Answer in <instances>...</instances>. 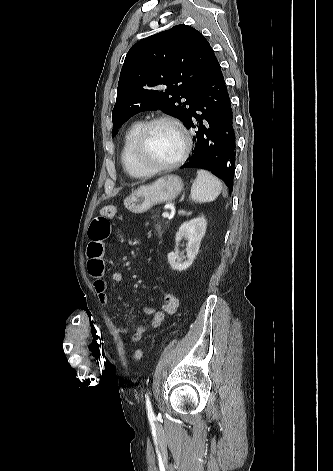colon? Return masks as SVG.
Wrapping results in <instances>:
<instances>
[{
  "instance_id": "1",
  "label": "colon",
  "mask_w": 333,
  "mask_h": 471,
  "mask_svg": "<svg viewBox=\"0 0 333 471\" xmlns=\"http://www.w3.org/2000/svg\"><path fill=\"white\" fill-rule=\"evenodd\" d=\"M101 215L105 216V217H109V218H112L114 216H116L117 214V208L115 206H112V205H107V206H104L102 209H101ZM143 356V351L141 349H136L135 352H134V357L136 360H140Z\"/></svg>"
}]
</instances>
